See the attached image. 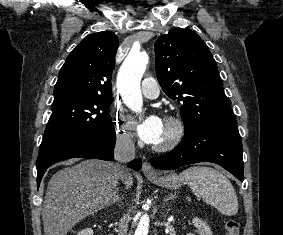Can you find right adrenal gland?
Masks as SVG:
<instances>
[{
    "mask_svg": "<svg viewBox=\"0 0 283 235\" xmlns=\"http://www.w3.org/2000/svg\"><path fill=\"white\" fill-rule=\"evenodd\" d=\"M115 202H118V203L121 202V197H120V195L118 194V190H116V191L114 192V195H113L112 199L110 200L109 205L111 206V205L114 204Z\"/></svg>",
    "mask_w": 283,
    "mask_h": 235,
    "instance_id": "obj_1",
    "label": "right adrenal gland"
}]
</instances>
